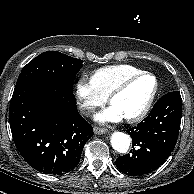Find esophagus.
Wrapping results in <instances>:
<instances>
[{
  "mask_svg": "<svg viewBox=\"0 0 194 194\" xmlns=\"http://www.w3.org/2000/svg\"><path fill=\"white\" fill-rule=\"evenodd\" d=\"M108 130L106 128L94 127V133L101 135L107 133Z\"/></svg>",
  "mask_w": 194,
  "mask_h": 194,
  "instance_id": "obj_1",
  "label": "esophagus"
}]
</instances>
